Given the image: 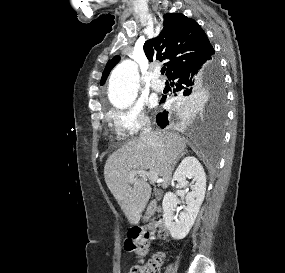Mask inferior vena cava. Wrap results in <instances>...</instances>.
Instances as JSON below:
<instances>
[{
    "label": "inferior vena cava",
    "mask_w": 285,
    "mask_h": 273,
    "mask_svg": "<svg viewBox=\"0 0 285 273\" xmlns=\"http://www.w3.org/2000/svg\"><path fill=\"white\" fill-rule=\"evenodd\" d=\"M160 132H153L150 126V122H146L140 133V138L143 140L150 141L154 146L161 148V143L159 139Z\"/></svg>",
    "instance_id": "602c4592"
}]
</instances>
